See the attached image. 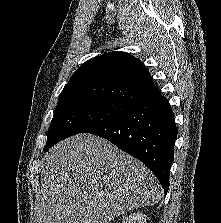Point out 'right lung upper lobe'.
I'll use <instances>...</instances> for the list:
<instances>
[{"label":"right lung upper lobe","mask_w":221,"mask_h":223,"mask_svg":"<svg viewBox=\"0 0 221 223\" xmlns=\"http://www.w3.org/2000/svg\"><path fill=\"white\" fill-rule=\"evenodd\" d=\"M161 96L139 59L110 52L85 62L62 90L58 103L82 97L113 99L134 106Z\"/></svg>","instance_id":"right-lung-upper-lobe-1"}]
</instances>
